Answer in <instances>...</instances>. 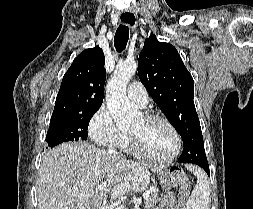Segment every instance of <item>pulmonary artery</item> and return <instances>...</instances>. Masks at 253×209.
<instances>
[{"label":"pulmonary artery","mask_w":253,"mask_h":209,"mask_svg":"<svg viewBox=\"0 0 253 209\" xmlns=\"http://www.w3.org/2000/svg\"><path fill=\"white\" fill-rule=\"evenodd\" d=\"M128 97L141 107L148 103V93L145 87L138 81H133L127 88Z\"/></svg>","instance_id":"e3ab8cb5"}]
</instances>
